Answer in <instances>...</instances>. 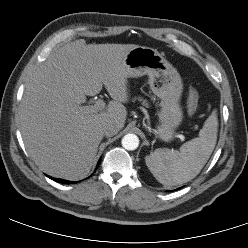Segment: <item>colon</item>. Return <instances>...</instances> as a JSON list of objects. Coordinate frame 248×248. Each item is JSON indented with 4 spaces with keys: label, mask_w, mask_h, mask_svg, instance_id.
I'll return each mask as SVG.
<instances>
[{
    "label": "colon",
    "mask_w": 248,
    "mask_h": 248,
    "mask_svg": "<svg viewBox=\"0 0 248 248\" xmlns=\"http://www.w3.org/2000/svg\"><path fill=\"white\" fill-rule=\"evenodd\" d=\"M198 93L194 88H190L187 97V111L189 114L195 113L198 107Z\"/></svg>",
    "instance_id": "5ec220e1"
}]
</instances>
